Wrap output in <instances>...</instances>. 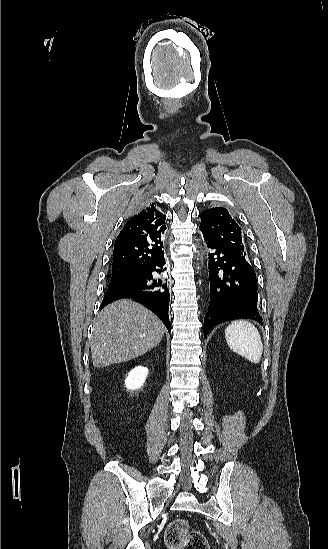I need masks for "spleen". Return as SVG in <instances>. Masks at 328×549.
<instances>
[{
    "label": "spleen",
    "instance_id": "obj_1",
    "mask_svg": "<svg viewBox=\"0 0 328 549\" xmlns=\"http://www.w3.org/2000/svg\"><path fill=\"white\" fill-rule=\"evenodd\" d=\"M225 339L231 351L248 359L251 363H260L263 343L260 333L249 321H233L225 329Z\"/></svg>",
    "mask_w": 328,
    "mask_h": 549
}]
</instances>
